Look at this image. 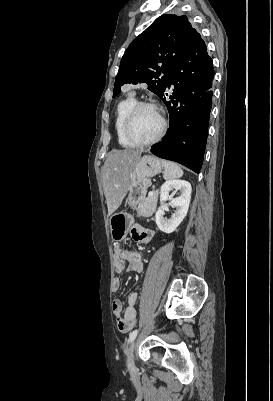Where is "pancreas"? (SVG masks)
Here are the masks:
<instances>
[{
  "instance_id": "pancreas-1",
  "label": "pancreas",
  "mask_w": 273,
  "mask_h": 401,
  "mask_svg": "<svg viewBox=\"0 0 273 401\" xmlns=\"http://www.w3.org/2000/svg\"><path fill=\"white\" fill-rule=\"evenodd\" d=\"M158 192L155 190L151 198H144L137 209V217H152L157 207Z\"/></svg>"
}]
</instances>
